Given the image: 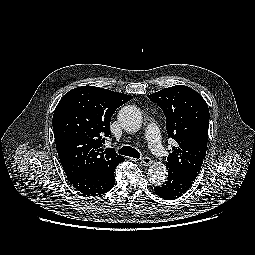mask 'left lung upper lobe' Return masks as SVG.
Instances as JSON below:
<instances>
[{"label":"left lung upper lobe","mask_w":255,"mask_h":255,"mask_svg":"<svg viewBox=\"0 0 255 255\" xmlns=\"http://www.w3.org/2000/svg\"><path fill=\"white\" fill-rule=\"evenodd\" d=\"M148 98L163 110L168 136L176 141L167 157V168L195 180L207 148V103L199 93L183 85L164 88Z\"/></svg>","instance_id":"5c2ea615"}]
</instances>
